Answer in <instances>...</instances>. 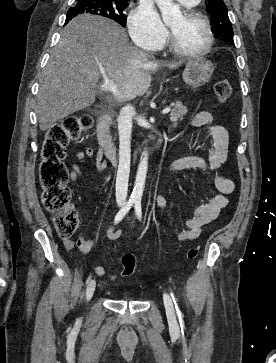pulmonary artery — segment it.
<instances>
[{
  "instance_id": "obj_1",
  "label": "pulmonary artery",
  "mask_w": 276,
  "mask_h": 363,
  "mask_svg": "<svg viewBox=\"0 0 276 363\" xmlns=\"http://www.w3.org/2000/svg\"><path fill=\"white\" fill-rule=\"evenodd\" d=\"M180 4L186 7H193L199 0H177Z\"/></svg>"
}]
</instances>
